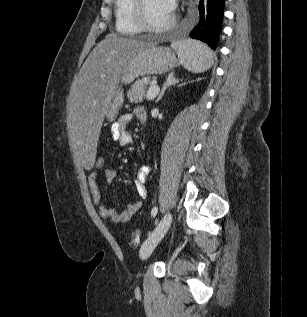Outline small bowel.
I'll list each match as a JSON object with an SVG mask.
<instances>
[{
    "label": "small bowel",
    "mask_w": 307,
    "mask_h": 317,
    "mask_svg": "<svg viewBox=\"0 0 307 317\" xmlns=\"http://www.w3.org/2000/svg\"><path fill=\"white\" fill-rule=\"evenodd\" d=\"M134 114L141 121L143 117L146 118V113L142 108H137ZM132 119L133 115L126 113L120 116L118 121L111 126L110 131L112 138L121 146H127L131 142L128 127ZM149 174L150 167L148 166H141L138 169L134 180V187L140 199L128 204L123 211H116L102 203L101 192L97 182V172H91L88 177L89 189L93 202L98 206L100 216L104 219H109L113 223H125L129 221L143 206V199H145L147 195L145 183ZM104 176L107 182H112L116 178V171L112 168H105Z\"/></svg>",
    "instance_id": "1"
}]
</instances>
